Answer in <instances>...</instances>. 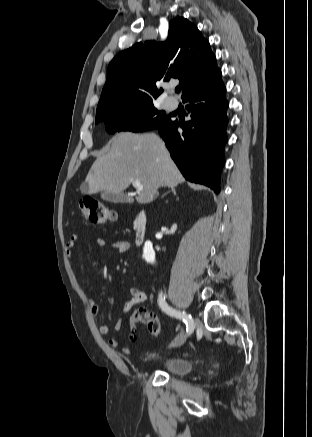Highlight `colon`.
Segmentation results:
<instances>
[{"label": "colon", "instance_id": "1", "mask_svg": "<svg viewBox=\"0 0 312 437\" xmlns=\"http://www.w3.org/2000/svg\"><path fill=\"white\" fill-rule=\"evenodd\" d=\"M79 210L82 216L89 222L105 224L114 221L116 214L104 202L92 197H84L79 202ZM143 323L148 331L155 336L160 334V323L156 315L145 307L135 309L129 317L128 330L130 338H133L136 324Z\"/></svg>", "mask_w": 312, "mask_h": 437}]
</instances>
